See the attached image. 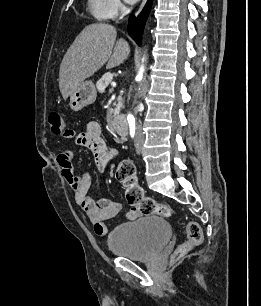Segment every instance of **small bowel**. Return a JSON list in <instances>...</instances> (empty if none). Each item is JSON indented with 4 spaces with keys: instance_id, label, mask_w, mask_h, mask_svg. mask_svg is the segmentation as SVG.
Returning <instances> with one entry per match:
<instances>
[{
    "instance_id": "obj_1",
    "label": "small bowel",
    "mask_w": 261,
    "mask_h": 306,
    "mask_svg": "<svg viewBox=\"0 0 261 306\" xmlns=\"http://www.w3.org/2000/svg\"><path fill=\"white\" fill-rule=\"evenodd\" d=\"M70 135L73 136V132ZM76 142L93 153L99 172H104L107 169L113 157V151L106 145L101 134V128L96 122L87 123L83 131L76 135ZM73 156L74 153L70 148L64 149L57 156L61 175L73 190L76 204L93 224L95 233L98 236H105L109 232L110 224L108 222L117 216L121 210V205L107 198H100L95 201L88 196L91 176L87 171L80 174L74 172ZM137 215V210L133 208L125 214V218L132 220Z\"/></svg>"
}]
</instances>
